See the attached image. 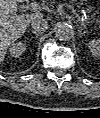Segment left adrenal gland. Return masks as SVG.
Instances as JSON below:
<instances>
[{
	"label": "left adrenal gland",
	"instance_id": "left-adrenal-gland-1",
	"mask_svg": "<svg viewBox=\"0 0 100 118\" xmlns=\"http://www.w3.org/2000/svg\"><path fill=\"white\" fill-rule=\"evenodd\" d=\"M83 30H84V28H82L81 26L78 27V36L80 38L87 33V30H85V31H83Z\"/></svg>",
	"mask_w": 100,
	"mask_h": 118
}]
</instances>
